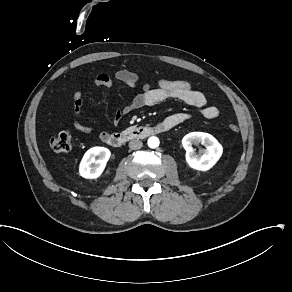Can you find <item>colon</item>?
I'll return each mask as SVG.
<instances>
[{
    "instance_id": "1",
    "label": "colon",
    "mask_w": 292,
    "mask_h": 292,
    "mask_svg": "<svg viewBox=\"0 0 292 292\" xmlns=\"http://www.w3.org/2000/svg\"><path fill=\"white\" fill-rule=\"evenodd\" d=\"M232 133L238 132V126L232 122L228 124ZM73 136L69 131H62L54 134L50 140V148L55 153H66L72 149Z\"/></svg>"
}]
</instances>
